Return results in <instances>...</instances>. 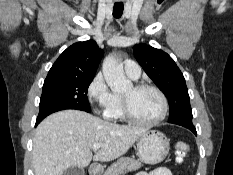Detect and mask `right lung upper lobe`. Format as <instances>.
I'll return each instance as SVG.
<instances>
[{"mask_svg":"<svg viewBox=\"0 0 233 175\" xmlns=\"http://www.w3.org/2000/svg\"><path fill=\"white\" fill-rule=\"evenodd\" d=\"M102 55L95 41L77 42L59 56L46 79L94 76Z\"/></svg>","mask_w":233,"mask_h":175,"instance_id":"right-lung-upper-lobe-1","label":"right lung upper lobe"}]
</instances>
